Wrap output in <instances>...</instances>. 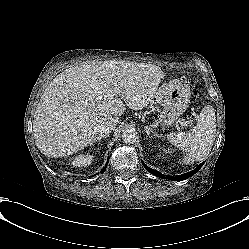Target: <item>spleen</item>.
Instances as JSON below:
<instances>
[{"label": "spleen", "mask_w": 249, "mask_h": 249, "mask_svg": "<svg viewBox=\"0 0 249 249\" xmlns=\"http://www.w3.org/2000/svg\"><path fill=\"white\" fill-rule=\"evenodd\" d=\"M215 123L205 110L200 113L197 125L188 133H172L169 142L186 152L185 160H202L213 145ZM188 159V160H187Z\"/></svg>", "instance_id": "3e777b00"}]
</instances>
